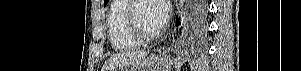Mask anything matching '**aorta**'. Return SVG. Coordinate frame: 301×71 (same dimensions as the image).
<instances>
[{"instance_id":"762f6f07","label":"aorta","mask_w":301,"mask_h":71,"mask_svg":"<svg viewBox=\"0 0 301 71\" xmlns=\"http://www.w3.org/2000/svg\"><path fill=\"white\" fill-rule=\"evenodd\" d=\"M187 2V0H179V10L182 12V14H184Z\"/></svg>"}]
</instances>
